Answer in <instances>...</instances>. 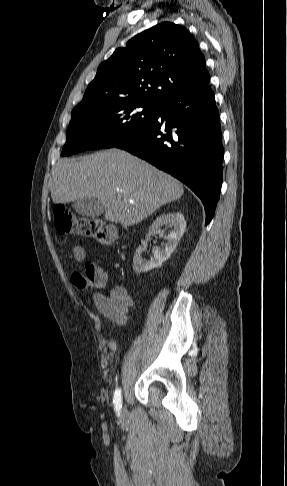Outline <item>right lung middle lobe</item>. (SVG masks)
Wrapping results in <instances>:
<instances>
[{"label": "right lung middle lobe", "mask_w": 287, "mask_h": 486, "mask_svg": "<svg viewBox=\"0 0 287 486\" xmlns=\"http://www.w3.org/2000/svg\"><path fill=\"white\" fill-rule=\"evenodd\" d=\"M158 106L154 101L123 99L73 111L61 156L130 140L156 116Z\"/></svg>", "instance_id": "right-lung-middle-lobe-1"}]
</instances>
